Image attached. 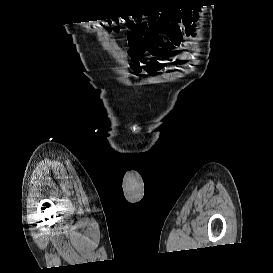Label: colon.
Returning <instances> with one entry per match:
<instances>
[{
  "label": "colon",
  "mask_w": 273,
  "mask_h": 273,
  "mask_svg": "<svg viewBox=\"0 0 273 273\" xmlns=\"http://www.w3.org/2000/svg\"><path fill=\"white\" fill-rule=\"evenodd\" d=\"M108 25L111 27V29L120 30L122 28H125L128 30V40L131 43H139L142 41V39L149 35L150 32V26H148L147 23L140 21V20H134L132 17H127L122 19V21H114L108 23ZM154 27V24L151 25Z\"/></svg>",
  "instance_id": "obj_1"
}]
</instances>
